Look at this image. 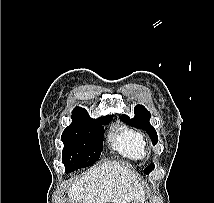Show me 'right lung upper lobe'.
Here are the masks:
<instances>
[{
    "instance_id": "obj_1",
    "label": "right lung upper lobe",
    "mask_w": 214,
    "mask_h": 203,
    "mask_svg": "<svg viewBox=\"0 0 214 203\" xmlns=\"http://www.w3.org/2000/svg\"><path fill=\"white\" fill-rule=\"evenodd\" d=\"M73 111H86V110L81 107H76Z\"/></svg>"
}]
</instances>
